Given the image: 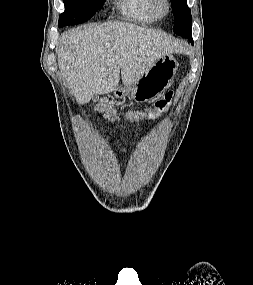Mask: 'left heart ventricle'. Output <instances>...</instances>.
Returning <instances> with one entry per match:
<instances>
[{
  "mask_svg": "<svg viewBox=\"0 0 253 285\" xmlns=\"http://www.w3.org/2000/svg\"><path fill=\"white\" fill-rule=\"evenodd\" d=\"M159 10L163 11L164 10V6L162 4L159 5Z\"/></svg>",
  "mask_w": 253,
  "mask_h": 285,
  "instance_id": "b2bd125f",
  "label": "left heart ventricle"
}]
</instances>
